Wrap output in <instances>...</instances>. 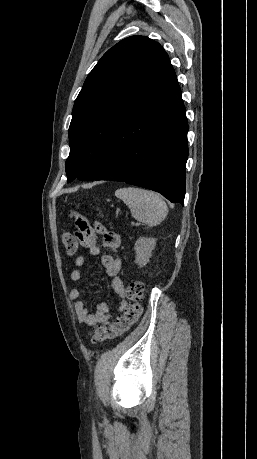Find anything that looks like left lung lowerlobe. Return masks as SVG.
Masks as SVG:
<instances>
[{
    "instance_id": "0a47b994",
    "label": "left lung lower lobe",
    "mask_w": 257,
    "mask_h": 459,
    "mask_svg": "<svg viewBox=\"0 0 257 459\" xmlns=\"http://www.w3.org/2000/svg\"><path fill=\"white\" fill-rule=\"evenodd\" d=\"M187 132L181 90L167 59L118 125L110 157L94 180L144 187L183 205Z\"/></svg>"
}]
</instances>
